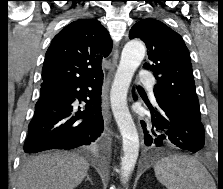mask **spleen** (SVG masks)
<instances>
[{
  "mask_svg": "<svg viewBox=\"0 0 223 189\" xmlns=\"http://www.w3.org/2000/svg\"><path fill=\"white\" fill-rule=\"evenodd\" d=\"M157 180L167 189H215L207 169L195 158L175 155L162 158L154 166Z\"/></svg>",
  "mask_w": 223,
  "mask_h": 189,
  "instance_id": "1",
  "label": "spleen"
}]
</instances>
